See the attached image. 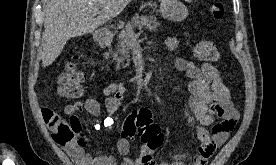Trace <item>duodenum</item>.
Masks as SVG:
<instances>
[{
    "mask_svg": "<svg viewBox=\"0 0 276 165\" xmlns=\"http://www.w3.org/2000/svg\"><path fill=\"white\" fill-rule=\"evenodd\" d=\"M96 40L100 46L106 47L111 42V36L106 32H98L96 34Z\"/></svg>",
    "mask_w": 276,
    "mask_h": 165,
    "instance_id": "1",
    "label": "duodenum"
}]
</instances>
